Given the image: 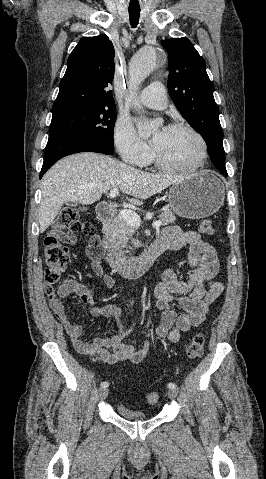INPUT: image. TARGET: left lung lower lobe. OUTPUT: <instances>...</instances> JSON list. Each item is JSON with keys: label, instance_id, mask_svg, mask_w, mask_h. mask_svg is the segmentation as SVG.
Listing matches in <instances>:
<instances>
[{"label": "left lung lower lobe", "instance_id": "1", "mask_svg": "<svg viewBox=\"0 0 266 479\" xmlns=\"http://www.w3.org/2000/svg\"><path fill=\"white\" fill-rule=\"evenodd\" d=\"M220 172H221L223 175L228 176L227 171L222 170V171H220Z\"/></svg>", "mask_w": 266, "mask_h": 479}]
</instances>
